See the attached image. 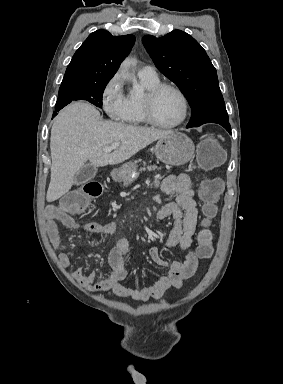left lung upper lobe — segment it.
<instances>
[{"mask_svg": "<svg viewBox=\"0 0 283 384\" xmlns=\"http://www.w3.org/2000/svg\"><path fill=\"white\" fill-rule=\"evenodd\" d=\"M142 41L159 71L187 98L192 108L187 128L209 122H228L216 69L193 37L174 30L159 38L146 35Z\"/></svg>", "mask_w": 283, "mask_h": 384, "instance_id": "obj_1", "label": "left lung upper lobe"}]
</instances>
